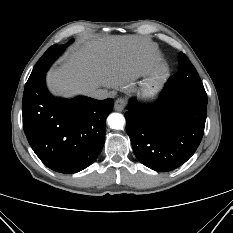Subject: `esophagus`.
Masks as SVG:
<instances>
[{"instance_id": "esophagus-1", "label": "esophagus", "mask_w": 233, "mask_h": 233, "mask_svg": "<svg viewBox=\"0 0 233 233\" xmlns=\"http://www.w3.org/2000/svg\"><path fill=\"white\" fill-rule=\"evenodd\" d=\"M126 106V100L123 98H119L114 103V109L116 111H123Z\"/></svg>"}]
</instances>
